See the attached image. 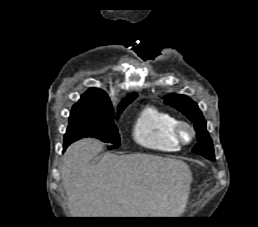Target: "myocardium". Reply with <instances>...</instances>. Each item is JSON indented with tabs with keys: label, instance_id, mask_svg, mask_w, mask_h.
Here are the masks:
<instances>
[{
	"label": "myocardium",
	"instance_id": "myocardium-1",
	"mask_svg": "<svg viewBox=\"0 0 258 227\" xmlns=\"http://www.w3.org/2000/svg\"><path fill=\"white\" fill-rule=\"evenodd\" d=\"M173 134L180 144L187 145L195 139L196 131L189 122L178 120L173 127Z\"/></svg>",
	"mask_w": 258,
	"mask_h": 227
}]
</instances>
